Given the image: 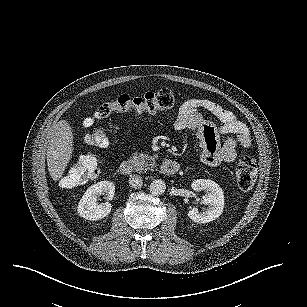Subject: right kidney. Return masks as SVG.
I'll list each match as a JSON object with an SVG mask.
<instances>
[{
    "instance_id": "right-kidney-1",
    "label": "right kidney",
    "mask_w": 307,
    "mask_h": 307,
    "mask_svg": "<svg viewBox=\"0 0 307 307\" xmlns=\"http://www.w3.org/2000/svg\"><path fill=\"white\" fill-rule=\"evenodd\" d=\"M101 194H105L107 200H112L115 194L114 183L104 180L88 187L78 203L77 212L80 217L96 221L110 214L112 205L109 201L97 203V197Z\"/></svg>"
}]
</instances>
